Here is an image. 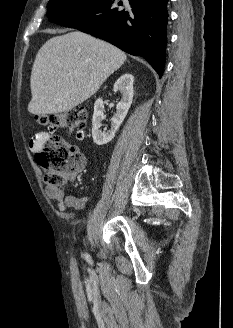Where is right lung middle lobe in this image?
Instances as JSON below:
<instances>
[{
  "mask_svg": "<svg viewBox=\"0 0 233 328\" xmlns=\"http://www.w3.org/2000/svg\"><path fill=\"white\" fill-rule=\"evenodd\" d=\"M99 0H50L47 5V17L56 22L63 17L85 9Z\"/></svg>",
  "mask_w": 233,
  "mask_h": 328,
  "instance_id": "dd1d6c3e",
  "label": "right lung middle lobe"
}]
</instances>
